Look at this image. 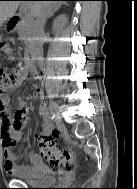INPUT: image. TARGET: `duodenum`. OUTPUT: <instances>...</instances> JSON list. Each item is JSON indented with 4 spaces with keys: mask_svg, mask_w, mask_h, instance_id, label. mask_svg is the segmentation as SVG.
Wrapping results in <instances>:
<instances>
[{
    "mask_svg": "<svg viewBox=\"0 0 137 189\" xmlns=\"http://www.w3.org/2000/svg\"><path fill=\"white\" fill-rule=\"evenodd\" d=\"M27 23H28V20H25L21 16L12 17L8 21L7 30L10 33L17 32L18 30H20L23 27H25L27 25ZM24 39L28 43V47H27L28 55H27V58H26V68L28 69V71L30 73H33L34 75H36L38 73L37 67L35 65L36 51L34 50V48L30 44V37H29L28 34L24 35Z\"/></svg>",
    "mask_w": 137,
    "mask_h": 189,
    "instance_id": "duodenum-1",
    "label": "duodenum"
}]
</instances>
